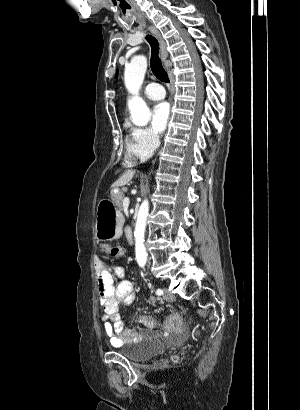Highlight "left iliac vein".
<instances>
[{"mask_svg":"<svg viewBox=\"0 0 300 410\" xmlns=\"http://www.w3.org/2000/svg\"><path fill=\"white\" fill-rule=\"evenodd\" d=\"M163 298L166 301H173L175 299L174 295L167 288L164 289Z\"/></svg>","mask_w":300,"mask_h":410,"instance_id":"left-iliac-vein-1","label":"left iliac vein"}]
</instances>
